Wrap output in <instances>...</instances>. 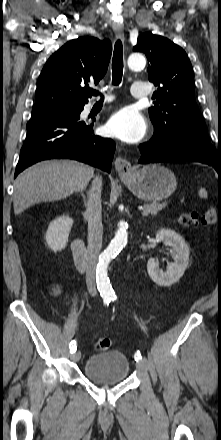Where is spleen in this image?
<instances>
[{
	"mask_svg": "<svg viewBox=\"0 0 221 440\" xmlns=\"http://www.w3.org/2000/svg\"><path fill=\"white\" fill-rule=\"evenodd\" d=\"M199 196L203 199H206L208 194L205 188H200L199 189Z\"/></svg>",
	"mask_w": 221,
	"mask_h": 440,
	"instance_id": "3e777b00",
	"label": "spleen"
}]
</instances>
